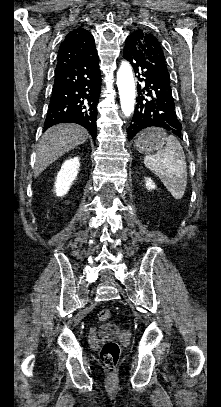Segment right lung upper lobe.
<instances>
[{
  "mask_svg": "<svg viewBox=\"0 0 221 407\" xmlns=\"http://www.w3.org/2000/svg\"><path fill=\"white\" fill-rule=\"evenodd\" d=\"M94 47V38L88 30L84 28L73 29L65 36L59 47L55 71H60L89 56Z\"/></svg>",
  "mask_w": 221,
  "mask_h": 407,
  "instance_id": "right-lung-upper-lobe-1",
  "label": "right lung upper lobe"
}]
</instances>
